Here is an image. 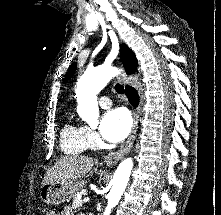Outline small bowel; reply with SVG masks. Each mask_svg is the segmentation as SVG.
Returning a JSON list of instances; mask_svg holds the SVG:
<instances>
[{"mask_svg":"<svg viewBox=\"0 0 221 215\" xmlns=\"http://www.w3.org/2000/svg\"><path fill=\"white\" fill-rule=\"evenodd\" d=\"M60 215H74L72 209L68 206L64 207Z\"/></svg>","mask_w":221,"mask_h":215,"instance_id":"1","label":"small bowel"}]
</instances>
